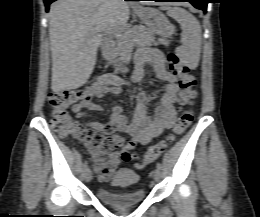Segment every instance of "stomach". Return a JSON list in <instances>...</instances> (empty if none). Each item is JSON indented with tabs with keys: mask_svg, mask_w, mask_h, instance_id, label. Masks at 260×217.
Listing matches in <instances>:
<instances>
[{
	"mask_svg": "<svg viewBox=\"0 0 260 217\" xmlns=\"http://www.w3.org/2000/svg\"><path fill=\"white\" fill-rule=\"evenodd\" d=\"M137 14L153 33L161 37H169L173 34V25L160 10L151 7H140Z\"/></svg>",
	"mask_w": 260,
	"mask_h": 217,
	"instance_id": "obj_1",
	"label": "stomach"
}]
</instances>
